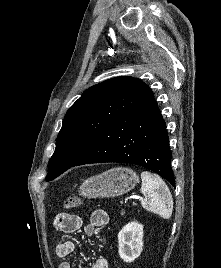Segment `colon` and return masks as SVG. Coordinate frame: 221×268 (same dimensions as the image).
<instances>
[{"instance_id":"1","label":"colon","mask_w":221,"mask_h":268,"mask_svg":"<svg viewBox=\"0 0 221 268\" xmlns=\"http://www.w3.org/2000/svg\"><path fill=\"white\" fill-rule=\"evenodd\" d=\"M83 200L80 197H68L64 201V207L67 209L76 208L82 205Z\"/></svg>"}]
</instances>
